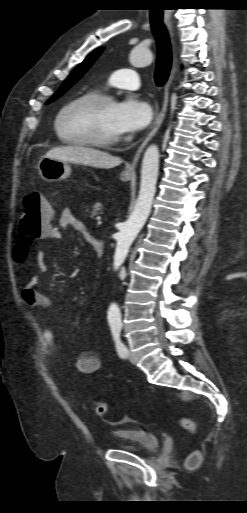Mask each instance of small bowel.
Wrapping results in <instances>:
<instances>
[{
	"mask_svg": "<svg viewBox=\"0 0 247 513\" xmlns=\"http://www.w3.org/2000/svg\"><path fill=\"white\" fill-rule=\"evenodd\" d=\"M61 229H72L81 232L85 237L89 236L87 226L83 221L74 216L69 208L61 211L58 219V226H52L49 232L42 237L44 240H61L63 237ZM36 262L40 273L47 271L44 262L43 252L39 251L36 256ZM40 277H30L22 290V301L30 308L40 311V319L43 322V337L45 340V355L48 357H59V349L57 347V338L54 331L47 325V310L50 308L51 300L45 294L38 290L40 285ZM74 368L82 373H95L101 368V359L91 350L81 351L76 359L72 362Z\"/></svg>",
	"mask_w": 247,
	"mask_h": 513,
	"instance_id": "1",
	"label": "small bowel"
}]
</instances>
